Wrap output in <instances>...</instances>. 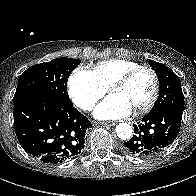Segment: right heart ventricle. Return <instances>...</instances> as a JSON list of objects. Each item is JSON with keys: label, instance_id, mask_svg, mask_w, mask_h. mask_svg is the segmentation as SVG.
Segmentation results:
<instances>
[{"label": "right heart ventricle", "instance_id": "e07e8e85", "mask_svg": "<svg viewBox=\"0 0 196 196\" xmlns=\"http://www.w3.org/2000/svg\"><path fill=\"white\" fill-rule=\"evenodd\" d=\"M139 66H141L139 63L132 60L114 58L97 63L92 69V73L98 82L108 89L123 74Z\"/></svg>", "mask_w": 196, "mask_h": 196}]
</instances>
